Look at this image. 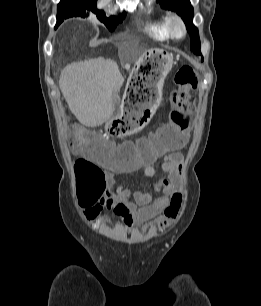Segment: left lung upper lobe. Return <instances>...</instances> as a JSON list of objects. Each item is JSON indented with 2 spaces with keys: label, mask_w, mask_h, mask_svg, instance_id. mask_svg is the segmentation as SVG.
<instances>
[{
  "label": "left lung upper lobe",
  "mask_w": 261,
  "mask_h": 306,
  "mask_svg": "<svg viewBox=\"0 0 261 306\" xmlns=\"http://www.w3.org/2000/svg\"><path fill=\"white\" fill-rule=\"evenodd\" d=\"M157 2H160L162 7L171 9L181 16L185 22L187 31L190 33L191 51L197 55H201L198 29L192 23L194 13L189 0H157Z\"/></svg>",
  "instance_id": "1"
}]
</instances>
